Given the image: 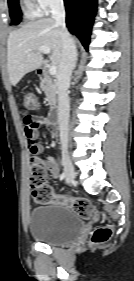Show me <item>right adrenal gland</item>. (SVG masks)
Returning a JSON list of instances; mask_svg holds the SVG:
<instances>
[{"mask_svg": "<svg viewBox=\"0 0 134 281\" xmlns=\"http://www.w3.org/2000/svg\"><path fill=\"white\" fill-rule=\"evenodd\" d=\"M77 60H78V53H77L76 63H77Z\"/></svg>", "mask_w": 134, "mask_h": 281, "instance_id": "obj_1", "label": "right adrenal gland"}]
</instances>
